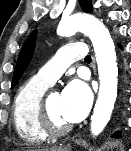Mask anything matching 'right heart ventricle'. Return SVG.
<instances>
[{
    "label": "right heart ventricle",
    "mask_w": 131,
    "mask_h": 151,
    "mask_svg": "<svg viewBox=\"0 0 131 151\" xmlns=\"http://www.w3.org/2000/svg\"><path fill=\"white\" fill-rule=\"evenodd\" d=\"M49 85L36 76L18 90L13 105V123L18 136L27 143L45 141L48 135L39 119V105Z\"/></svg>",
    "instance_id": "right-heart-ventricle-1"
}]
</instances>
